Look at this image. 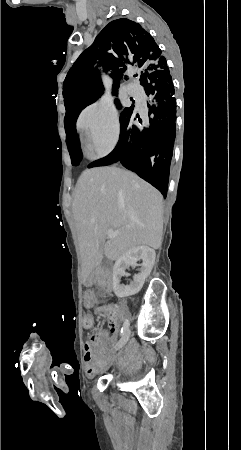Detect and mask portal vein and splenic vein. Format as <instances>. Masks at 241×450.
Wrapping results in <instances>:
<instances>
[{"instance_id": "1", "label": "portal vein and splenic vein", "mask_w": 241, "mask_h": 450, "mask_svg": "<svg viewBox=\"0 0 241 450\" xmlns=\"http://www.w3.org/2000/svg\"><path fill=\"white\" fill-rule=\"evenodd\" d=\"M118 232H113V230H108L107 236L108 238H116Z\"/></svg>"}]
</instances>
